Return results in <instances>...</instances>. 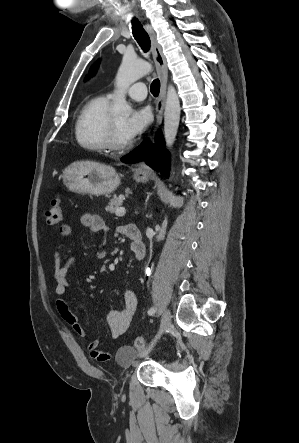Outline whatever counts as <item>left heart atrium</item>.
Listing matches in <instances>:
<instances>
[{
  "instance_id": "left-heart-atrium-1",
  "label": "left heart atrium",
  "mask_w": 299,
  "mask_h": 443,
  "mask_svg": "<svg viewBox=\"0 0 299 443\" xmlns=\"http://www.w3.org/2000/svg\"><path fill=\"white\" fill-rule=\"evenodd\" d=\"M152 119L151 111L148 107L135 108L123 124V133L129 139L142 134L150 125Z\"/></svg>"
}]
</instances>
